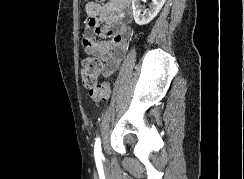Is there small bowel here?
Returning a JSON list of instances; mask_svg holds the SVG:
<instances>
[{"label":"small bowel","mask_w":244,"mask_h":179,"mask_svg":"<svg viewBox=\"0 0 244 179\" xmlns=\"http://www.w3.org/2000/svg\"><path fill=\"white\" fill-rule=\"evenodd\" d=\"M130 20L131 9L126 0L90 2L86 6L84 50L103 61L105 77L110 76L125 57L131 33Z\"/></svg>","instance_id":"c3829d8e"}]
</instances>
